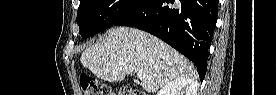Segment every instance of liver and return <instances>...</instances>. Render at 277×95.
<instances>
[{
    "instance_id": "liver-1",
    "label": "liver",
    "mask_w": 277,
    "mask_h": 95,
    "mask_svg": "<svg viewBox=\"0 0 277 95\" xmlns=\"http://www.w3.org/2000/svg\"><path fill=\"white\" fill-rule=\"evenodd\" d=\"M81 64L97 78L118 82L135 72L143 78L134 80L148 93H154L179 78L196 79L189 61L159 38L129 27L108 30L104 38L87 48Z\"/></svg>"
}]
</instances>
